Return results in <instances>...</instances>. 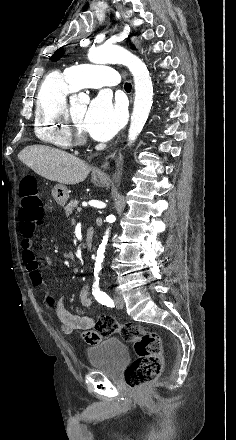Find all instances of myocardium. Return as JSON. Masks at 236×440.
Here are the masks:
<instances>
[{
    "instance_id": "f54148a6",
    "label": "myocardium",
    "mask_w": 236,
    "mask_h": 440,
    "mask_svg": "<svg viewBox=\"0 0 236 440\" xmlns=\"http://www.w3.org/2000/svg\"><path fill=\"white\" fill-rule=\"evenodd\" d=\"M65 122L67 125V131L71 137L72 142L76 144H84L87 142V137L85 135V132L82 131L73 116L72 110L70 106L66 107L65 114H64Z\"/></svg>"
}]
</instances>
